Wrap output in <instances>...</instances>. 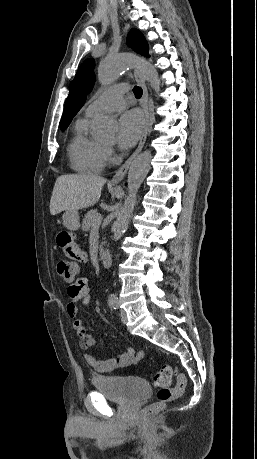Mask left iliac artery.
Listing matches in <instances>:
<instances>
[{
    "label": "left iliac artery",
    "instance_id": "44dca946",
    "mask_svg": "<svg viewBox=\"0 0 257 459\" xmlns=\"http://www.w3.org/2000/svg\"><path fill=\"white\" fill-rule=\"evenodd\" d=\"M109 303L113 309H118L119 303H118V298L115 294H111L109 296Z\"/></svg>",
    "mask_w": 257,
    "mask_h": 459
}]
</instances>
